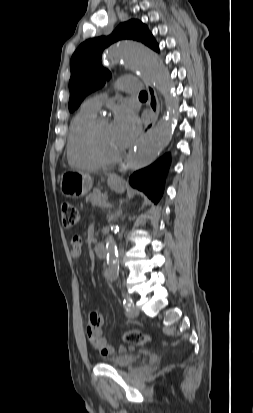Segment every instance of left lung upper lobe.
Segmentation results:
<instances>
[{"mask_svg":"<svg viewBox=\"0 0 253 413\" xmlns=\"http://www.w3.org/2000/svg\"><path fill=\"white\" fill-rule=\"evenodd\" d=\"M122 39L136 40L158 51V44L148 27L134 19L121 23L108 37L102 36L83 42L70 61V111L77 109L86 95L102 87L106 79L110 78V72L101 64L102 52L110 44Z\"/></svg>","mask_w":253,"mask_h":413,"instance_id":"1","label":"left lung upper lobe"}]
</instances>
